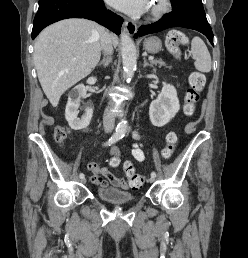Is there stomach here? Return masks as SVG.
Wrapping results in <instances>:
<instances>
[{"instance_id": "obj_1", "label": "stomach", "mask_w": 248, "mask_h": 258, "mask_svg": "<svg viewBox=\"0 0 248 258\" xmlns=\"http://www.w3.org/2000/svg\"><path fill=\"white\" fill-rule=\"evenodd\" d=\"M143 48L148 53L155 54L162 49V42L158 37H149L143 42Z\"/></svg>"}]
</instances>
